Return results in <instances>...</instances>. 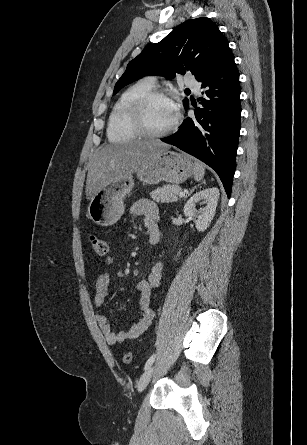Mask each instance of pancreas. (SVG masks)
Instances as JSON below:
<instances>
[{
  "mask_svg": "<svg viewBox=\"0 0 307 445\" xmlns=\"http://www.w3.org/2000/svg\"><path fill=\"white\" fill-rule=\"evenodd\" d=\"M181 192V186L179 184H164V186H159L150 192L153 200H161V202H173L177 200L178 194Z\"/></svg>",
  "mask_w": 307,
  "mask_h": 445,
  "instance_id": "1",
  "label": "pancreas"
}]
</instances>
